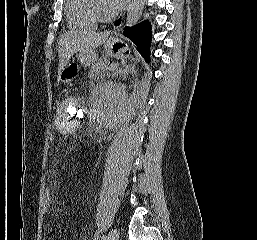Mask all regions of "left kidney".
Instances as JSON below:
<instances>
[{
	"mask_svg": "<svg viewBox=\"0 0 257 240\" xmlns=\"http://www.w3.org/2000/svg\"><path fill=\"white\" fill-rule=\"evenodd\" d=\"M101 116L107 125L115 124L131 107V97L125 86L109 83L100 92Z\"/></svg>",
	"mask_w": 257,
	"mask_h": 240,
	"instance_id": "1",
	"label": "left kidney"
}]
</instances>
